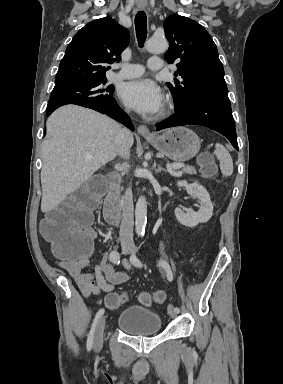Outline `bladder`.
<instances>
[{
  "label": "bladder",
  "instance_id": "bladder-1",
  "mask_svg": "<svg viewBox=\"0 0 283 384\" xmlns=\"http://www.w3.org/2000/svg\"><path fill=\"white\" fill-rule=\"evenodd\" d=\"M160 312L148 307L131 305L122 309L116 327L123 333L135 337H150L159 335L162 330Z\"/></svg>",
  "mask_w": 283,
  "mask_h": 384
}]
</instances>
